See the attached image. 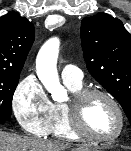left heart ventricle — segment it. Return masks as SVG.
<instances>
[{"label":"left heart ventricle","mask_w":131,"mask_h":151,"mask_svg":"<svg viewBox=\"0 0 131 151\" xmlns=\"http://www.w3.org/2000/svg\"><path fill=\"white\" fill-rule=\"evenodd\" d=\"M87 129L101 137L114 135L119 127V117L112 104L103 97H93L86 106Z\"/></svg>","instance_id":"1"}]
</instances>
